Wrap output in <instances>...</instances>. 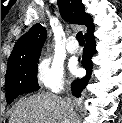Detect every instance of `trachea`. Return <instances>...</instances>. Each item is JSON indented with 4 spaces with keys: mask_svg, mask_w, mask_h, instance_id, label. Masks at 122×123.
<instances>
[{
    "mask_svg": "<svg viewBox=\"0 0 122 123\" xmlns=\"http://www.w3.org/2000/svg\"><path fill=\"white\" fill-rule=\"evenodd\" d=\"M76 38H77L79 44H81V45L84 44V42H85L84 36H83V33L81 31L77 33Z\"/></svg>",
    "mask_w": 122,
    "mask_h": 123,
    "instance_id": "obj_1",
    "label": "trachea"
}]
</instances>
